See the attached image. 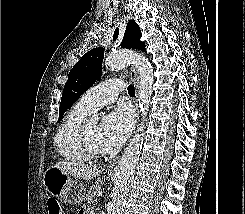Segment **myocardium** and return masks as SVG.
Segmentation results:
<instances>
[{
  "label": "myocardium",
  "instance_id": "f54148a6",
  "mask_svg": "<svg viewBox=\"0 0 245 214\" xmlns=\"http://www.w3.org/2000/svg\"><path fill=\"white\" fill-rule=\"evenodd\" d=\"M87 123L83 122L80 126L77 134V145L81 154L87 159H95L102 155L101 151H97L91 148L87 138L86 132Z\"/></svg>",
  "mask_w": 245,
  "mask_h": 214
}]
</instances>
